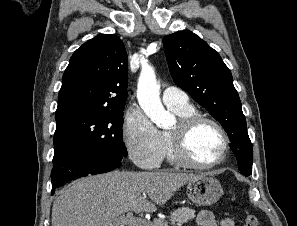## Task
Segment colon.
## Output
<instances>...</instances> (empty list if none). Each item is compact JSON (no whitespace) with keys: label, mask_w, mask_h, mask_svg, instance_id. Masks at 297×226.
Here are the masks:
<instances>
[{"label":"colon","mask_w":297,"mask_h":226,"mask_svg":"<svg viewBox=\"0 0 297 226\" xmlns=\"http://www.w3.org/2000/svg\"><path fill=\"white\" fill-rule=\"evenodd\" d=\"M244 226H258V219L253 214H248L244 218Z\"/></svg>","instance_id":"obj_1"}]
</instances>
